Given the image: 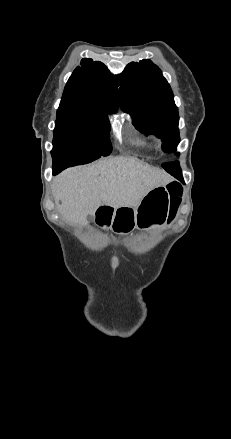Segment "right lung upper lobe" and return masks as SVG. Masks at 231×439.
<instances>
[{
	"label": "right lung upper lobe",
	"mask_w": 231,
	"mask_h": 439,
	"mask_svg": "<svg viewBox=\"0 0 231 439\" xmlns=\"http://www.w3.org/2000/svg\"><path fill=\"white\" fill-rule=\"evenodd\" d=\"M118 76L110 73L99 61L90 58L81 60L69 78L58 110L104 109L117 110L121 107Z\"/></svg>",
	"instance_id": "1"
}]
</instances>
